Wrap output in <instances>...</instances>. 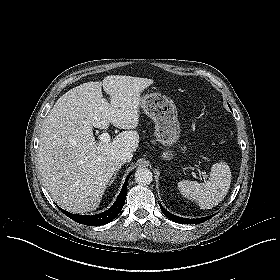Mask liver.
<instances>
[{"label": "liver", "instance_id": "liver-1", "mask_svg": "<svg viewBox=\"0 0 280 280\" xmlns=\"http://www.w3.org/2000/svg\"><path fill=\"white\" fill-rule=\"evenodd\" d=\"M148 78L111 75L63 94L44 119L39 138L38 169L53 200L67 211L95 210L114 176L123 151L135 152L141 92ZM110 95V103L103 97ZM124 129L108 143L97 142L93 128Z\"/></svg>", "mask_w": 280, "mask_h": 280}]
</instances>
